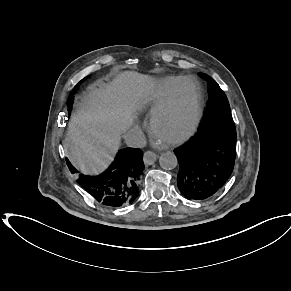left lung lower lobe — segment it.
<instances>
[{
	"label": "left lung lower lobe",
	"instance_id": "obj_1",
	"mask_svg": "<svg viewBox=\"0 0 291 291\" xmlns=\"http://www.w3.org/2000/svg\"><path fill=\"white\" fill-rule=\"evenodd\" d=\"M179 172L177 184L189 200H205L216 195L230 178L235 164L236 137L202 133L174 151Z\"/></svg>",
	"mask_w": 291,
	"mask_h": 291
}]
</instances>
